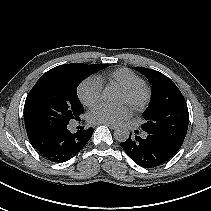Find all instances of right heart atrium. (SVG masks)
<instances>
[{"label": "right heart atrium", "mask_w": 211, "mask_h": 211, "mask_svg": "<svg viewBox=\"0 0 211 211\" xmlns=\"http://www.w3.org/2000/svg\"><path fill=\"white\" fill-rule=\"evenodd\" d=\"M78 97L86 106L96 105L102 94V83L97 77H89L81 82L78 87Z\"/></svg>", "instance_id": "1"}]
</instances>
